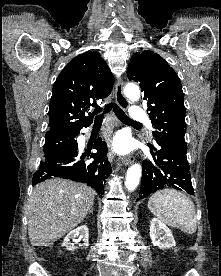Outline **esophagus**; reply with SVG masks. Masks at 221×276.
<instances>
[{
	"label": "esophagus",
	"mask_w": 221,
	"mask_h": 276,
	"mask_svg": "<svg viewBox=\"0 0 221 276\" xmlns=\"http://www.w3.org/2000/svg\"><path fill=\"white\" fill-rule=\"evenodd\" d=\"M115 97L117 104L124 110L128 109L129 102L123 94V81L120 79L115 86ZM121 162L124 165H130L133 162L132 156H126L121 158Z\"/></svg>",
	"instance_id": "obj_1"
}]
</instances>
